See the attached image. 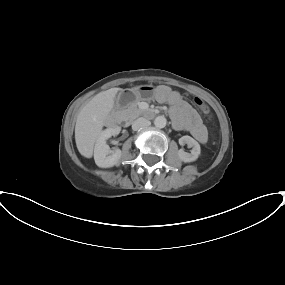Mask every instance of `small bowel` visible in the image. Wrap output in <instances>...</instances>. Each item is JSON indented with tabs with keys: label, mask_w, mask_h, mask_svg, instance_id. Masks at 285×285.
Wrapping results in <instances>:
<instances>
[{
	"label": "small bowel",
	"mask_w": 285,
	"mask_h": 285,
	"mask_svg": "<svg viewBox=\"0 0 285 285\" xmlns=\"http://www.w3.org/2000/svg\"><path fill=\"white\" fill-rule=\"evenodd\" d=\"M156 99L170 105V114L177 129L189 132L201 144L207 141V131L198 113L177 92L168 86H159Z\"/></svg>",
	"instance_id": "small-bowel-1"
}]
</instances>
